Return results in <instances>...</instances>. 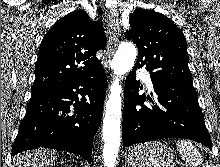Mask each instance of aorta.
I'll use <instances>...</instances> for the list:
<instances>
[{
    "label": "aorta",
    "mask_w": 220,
    "mask_h": 167,
    "mask_svg": "<svg viewBox=\"0 0 220 167\" xmlns=\"http://www.w3.org/2000/svg\"><path fill=\"white\" fill-rule=\"evenodd\" d=\"M136 56L137 50L134 44L122 42L111 61V68L114 71L115 79L110 88L111 93L106 102L103 120V160L106 167H116V159L121 141L122 88L119 84V78L132 69Z\"/></svg>",
    "instance_id": "1"
}]
</instances>
